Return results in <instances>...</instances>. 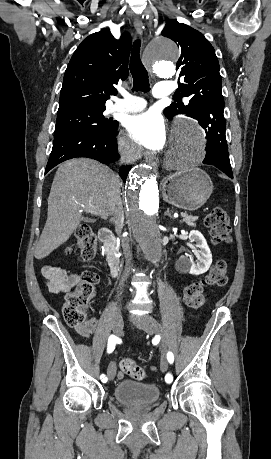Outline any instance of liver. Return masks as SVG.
I'll return each mask as SVG.
<instances>
[{
  "label": "liver",
  "instance_id": "1",
  "mask_svg": "<svg viewBox=\"0 0 271 459\" xmlns=\"http://www.w3.org/2000/svg\"><path fill=\"white\" fill-rule=\"evenodd\" d=\"M116 176L108 166L89 158L60 164L48 198L46 224L34 251L37 259L49 255L78 228L82 212L100 216L108 208Z\"/></svg>",
  "mask_w": 271,
  "mask_h": 459
}]
</instances>
